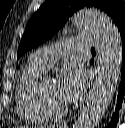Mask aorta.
Returning <instances> with one entry per match:
<instances>
[{
	"label": "aorta",
	"mask_w": 125,
	"mask_h": 128,
	"mask_svg": "<svg viewBox=\"0 0 125 128\" xmlns=\"http://www.w3.org/2000/svg\"><path fill=\"white\" fill-rule=\"evenodd\" d=\"M75 25L90 31L97 40V75L75 128H95L114 95L120 73L122 45L118 29L111 19L93 8L74 15Z\"/></svg>",
	"instance_id": "762f6f07"
}]
</instances>
